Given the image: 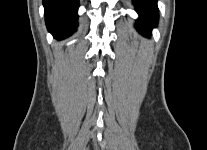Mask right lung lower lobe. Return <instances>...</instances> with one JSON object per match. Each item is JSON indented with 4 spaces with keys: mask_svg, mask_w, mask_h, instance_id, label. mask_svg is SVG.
Listing matches in <instances>:
<instances>
[{
    "mask_svg": "<svg viewBox=\"0 0 207 150\" xmlns=\"http://www.w3.org/2000/svg\"><path fill=\"white\" fill-rule=\"evenodd\" d=\"M45 22L48 31L56 39L71 35L78 23V0H43Z\"/></svg>",
    "mask_w": 207,
    "mask_h": 150,
    "instance_id": "obj_1",
    "label": "right lung lower lobe"
}]
</instances>
